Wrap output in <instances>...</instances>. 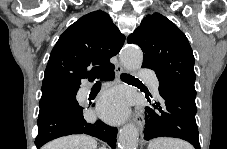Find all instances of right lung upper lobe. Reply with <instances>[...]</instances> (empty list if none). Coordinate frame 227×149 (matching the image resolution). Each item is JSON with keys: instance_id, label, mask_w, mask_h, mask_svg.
Instances as JSON below:
<instances>
[{"instance_id": "right-lung-upper-lobe-1", "label": "right lung upper lobe", "mask_w": 227, "mask_h": 149, "mask_svg": "<svg viewBox=\"0 0 227 149\" xmlns=\"http://www.w3.org/2000/svg\"><path fill=\"white\" fill-rule=\"evenodd\" d=\"M125 36L101 10L78 19L61 34L51 51L42 88L57 84L77 86L81 80L102 77L122 48Z\"/></svg>"}]
</instances>
